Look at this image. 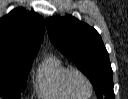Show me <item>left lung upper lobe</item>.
I'll return each instance as SVG.
<instances>
[{
  "instance_id": "1",
  "label": "left lung upper lobe",
  "mask_w": 128,
  "mask_h": 99,
  "mask_svg": "<svg viewBox=\"0 0 128 99\" xmlns=\"http://www.w3.org/2000/svg\"><path fill=\"white\" fill-rule=\"evenodd\" d=\"M51 42L89 78L98 99H114L108 52L98 32L72 16L50 17Z\"/></svg>"
}]
</instances>
